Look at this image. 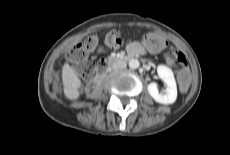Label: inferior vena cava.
Listing matches in <instances>:
<instances>
[{
    "label": "inferior vena cava",
    "mask_w": 230,
    "mask_h": 155,
    "mask_svg": "<svg viewBox=\"0 0 230 155\" xmlns=\"http://www.w3.org/2000/svg\"><path fill=\"white\" fill-rule=\"evenodd\" d=\"M126 66L127 65H126V62L124 60H119L116 63H114L112 67L114 70H117V69H123Z\"/></svg>",
    "instance_id": "inferior-vena-cava-1"
}]
</instances>
